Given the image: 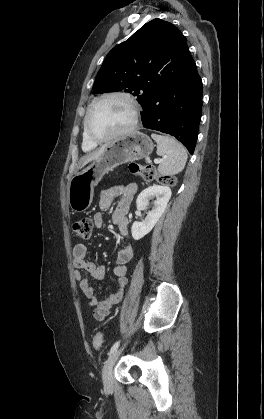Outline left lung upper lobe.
<instances>
[{
  "mask_svg": "<svg viewBox=\"0 0 264 419\" xmlns=\"http://www.w3.org/2000/svg\"><path fill=\"white\" fill-rule=\"evenodd\" d=\"M182 33L171 23L154 19L106 56L93 85V93L129 92L144 105L152 86L172 72L176 46Z\"/></svg>",
  "mask_w": 264,
  "mask_h": 419,
  "instance_id": "obj_1",
  "label": "left lung upper lobe"
}]
</instances>
